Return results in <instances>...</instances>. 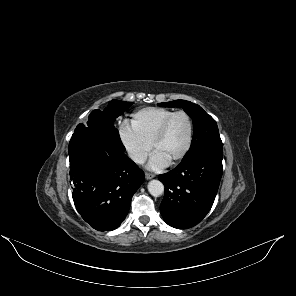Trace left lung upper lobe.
Listing matches in <instances>:
<instances>
[{
    "mask_svg": "<svg viewBox=\"0 0 296 296\" xmlns=\"http://www.w3.org/2000/svg\"><path fill=\"white\" fill-rule=\"evenodd\" d=\"M158 105L162 107L183 108L184 111L193 119L194 135L191 147L184 159L207 149L222 147V141L216 121L199 105L186 100L159 103Z\"/></svg>",
    "mask_w": 296,
    "mask_h": 296,
    "instance_id": "obj_1",
    "label": "left lung upper lobe"
}]
</instances>
